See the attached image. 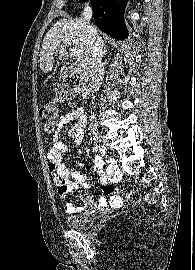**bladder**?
<instances>
[{"label":"bladder","instance_id":"1","mask_svg":"<svg viewBox=\"0 0 195 270\" xmlns=\"http://www.w3.org/2000/svg\"><path fill=\"white\" fill-rule=\"evenodd\" d=\"M97 220V214L92 210H85L71 214L66 218V224L75 230H88L92 228Z\"/></svg>","mask_w":195,"mask_h":270}]
</instances>
